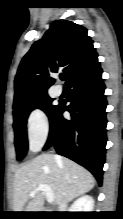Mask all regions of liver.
<instances>
[{
    "mask_svg": "<svg viewBox=\"0 0 123 219\" xmlns=\"http://www.w3.org/2000/svg\"><path fill=\"white\" fill-rule=\"evenodd\" d=\"M40 184L50 186L56 205L63 200L71 201L89 192L95 185L93 175L68 158L53 154H41L15 173L13 191L14 212H41L44 193L34 191Z\"/></svg>",
    "mask_w": 123,
    "mask_h": 219,
    "instance_id": "1",
    "label": "liver"
}]
</instances>
